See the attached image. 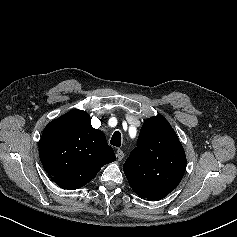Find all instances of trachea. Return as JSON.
<instances>
[{
	"instance_id": "1",
	"label": "trachea",
	"mask_w": 237,
	"mask_h": 237,
	"mask_svg": "<svg viewBox=\"0 0 237 237\" xmlns=\"http://www.w3.org/2000/svg\"><path fill=\"white\" fill-rule=\"evenodd\" d=\"M110 144L116 147L121 146V134L119 131L114 132L110 140Z\"/></svg>"
}]
</instances>
